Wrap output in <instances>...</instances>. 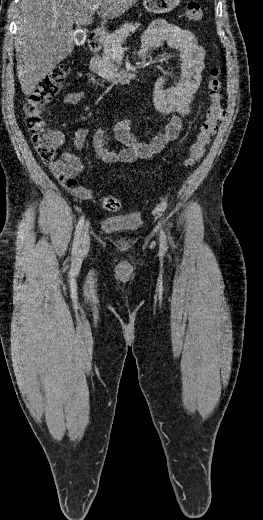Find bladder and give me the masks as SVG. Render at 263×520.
I'll return each instance as SVG.
<instances>
[{
	"instance_id": "1",
	"label": "bladder",
	"mask_w": 263,
	"mask_h": 520,
	"mask_svg": "<svg viewBox=\"0 0 263 520\" xmlns=\"http://www.w3.org/2000/svg\"><path fill=\"white\" fill-rule=\"evenodd\" d=\"M143 224L142 217L137 212L118 214L104 218L101 229L108 233L130 234L138 231Z\"/></svg>"
}]
</instances>
